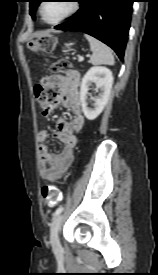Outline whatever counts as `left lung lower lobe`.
Here are the masks:
<instances>
[{"mask_svg":"<svg viewBox=\"0 0 158 275\" xmlns=\"http://www.w3.org/2000/svg\"><path fill=\"white\" fill-rule=\"evenodd\" d=\"M81 8L55 29L82 31L110 46L123 60L134 0H80Z\"/></svg>","mask_w":158,"mask_h":275,"instance_id":"1","label":"left lung lower lobe"}]
</instances>
